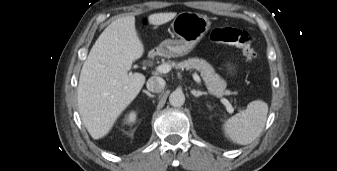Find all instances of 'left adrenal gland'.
Segmentation results:
<instances>
[{
    "label": "left adrenal gland",
    "mask_w": 337,
    "mask_h": 171,
    "mask_svg": "<svg viewBox=\"0 0 337 171\" xmlns=\"http://www.w3.org/2000/svg\"><path fill=\"white\" fill-rule=\"evenodd\" d=\"M191 93L195 96V97H199V96H203V95H207L206 92H201V91H196V90H191Z\"/></svg>",
    "instance_id": "obj_1"
}]
</instances>
